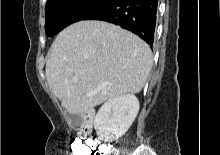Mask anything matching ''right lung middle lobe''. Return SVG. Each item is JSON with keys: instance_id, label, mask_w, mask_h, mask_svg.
Masks as SVG:
<instances>
[{"instance_id": "dd1d6c3e", "label": "right lung middle lobe", "mask_w": 220, "mask_h": 155, "mask_svg": "<svg viewBox=\"0 0 220 155\" xmlns=\"http://www.w3.org/2000/svg\"><path fill=\"white\" fill-rule=\"evenodd\" d=\"M114 0H52L46 3L45 31L48 37L59 33L68 25L84 20L105 8Z\"/></svg>"}]
</instances>
